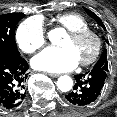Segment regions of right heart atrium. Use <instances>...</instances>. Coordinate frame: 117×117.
I'll list each match as a JSON object with an SVG mask.
<instances>
[{
	"instance_id": "obj_1",
	"label": "right heart atrium",
	"mask_w": 117,
	"mask_h": 117,
	"mask_svg": "<svg viewBox=\"0 0 117 117\" xmlns=\"http://www.w3.org/2000/svg\"><path fill=\"white\" fill-rule=\"evenodd\" d=\"M46 31L40 17H31L20 23L16 30V41L19 48L33 54L45 44Z\"/></svg>"
}]
</instances>
